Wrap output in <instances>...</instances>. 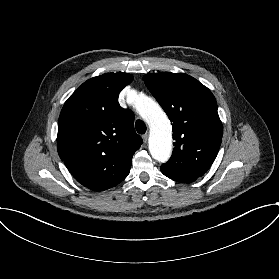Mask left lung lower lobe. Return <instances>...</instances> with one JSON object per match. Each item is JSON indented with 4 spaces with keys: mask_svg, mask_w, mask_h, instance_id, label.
<instances>
[{
    "mask_svg": "<svg viewBox=\"0 0 279 279\" xmlns=\"http://www.w3.org/2000/svg\"><path fill=\"white\" fill-rule=\"evenodd\" d=\"M161 171L165 176H167L170 179H173L175 181L182 182V183H190V181L188 179H185V178H183V177H181L177 174H174V173H172V172H170L166 169L161 168Z\"/></svg>",
    "mask_w": 279,
    "mask_h": 279,
    "instance_id": "1",
    "label": "left lung lower lobe"
}]
</instances>
